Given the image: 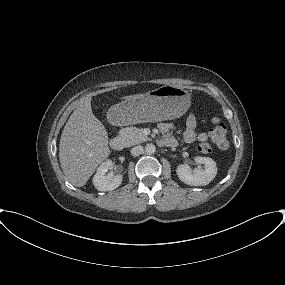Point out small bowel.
<instances>
[{"instance_id":"c3829d8e","label":"small bowel","mask_w":285,"mask_h":285,"mask_svg":"<svg viewBox=\"0 0 285 285\" xmlns=\"http://www.w3.org/2000/svg\"><path fill=\"white\" fill-rule=\"evenodd\" d=\"M197 120L194 115L188 117L184 130L183 136L186 142L192 143L194 141L205 142L208 139L206 132H198L196 130ZM159 129L163 134V143L169 146H175L177 139L175 137V126L171 122H163L159 125Z\"/></svg>"}]
</instances>
